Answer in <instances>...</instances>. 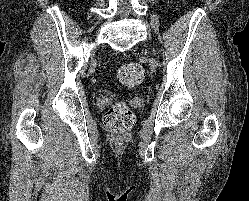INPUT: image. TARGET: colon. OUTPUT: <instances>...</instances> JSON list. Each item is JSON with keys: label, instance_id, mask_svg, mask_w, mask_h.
<instances>
[{"label": "colon", "instance_id": "1", "mask_svg": "<svg viewBox=\"0 0 249 201\" xmlns=\"http://www.w3.org/2000/svg\"><path fill=\"white\" fill-rule=\"evenodd\" d=\"M144 78L143 68L136 63L121 66L117 71L118 81L125 87L132 88ZM134 115L131 108L122 102L114 104L104 116L106 129L114 135H123L133 126Z\"/></svg>", "mask_w": 249, "mask_h": 201}]
</instances>
